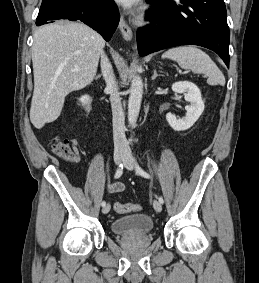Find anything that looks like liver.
Wrapping results in <instances>:
<instances>
[{"mask_svg": "<svg viewBox=\"0 0 259 283\" xmlns=\"http://www.w3.org/2000/svg\"><path fill=\"white\" fill-rule=\"evenodd\" d=\"M33 38L30 121L40 129L60 116L70 92L91 84L105 41L87 25L69 21L44 25Z\"/></svg>", "mask_w": 259, "mask_h": 283, "instance_id": "obj_1", "label": "liver"}]
</instances>
